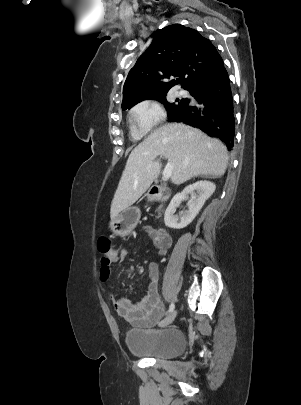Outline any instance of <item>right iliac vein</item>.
Masks as SVG:
<instances>
[{
    "mask_svg": "<svg viewBox=\"0 0 301 405\" xmlns=\"http://www.w3.org/2000/svg\"><path fill=\"white\" fill-rule=\"evenodd\" d=\"M176 316V311H172L170 314H168L160 323L159 326L164 327L173 322Z\"/></svg>",
    "mask_w": 301,
    "mask_h": 405,
    "instance_id": "right-iliac-vein-1",
    "label": "right iliac vein"
}]
</instances>
